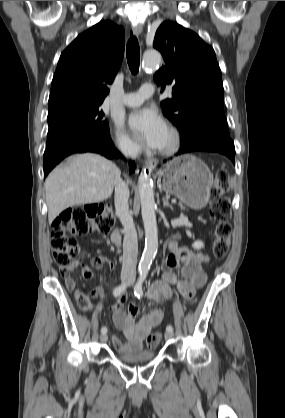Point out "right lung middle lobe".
Returning <instances> with one entry per match:
<instances>
[{
	"instance_id": "obj_1",
	"label": "right lung middle lobe",
	"mask_w": 285,
	"mask_h": 418,
	"mask_svg": "<svg viewBox=\"0 0 285 418\" xmlns=\"http://www.w3.org/2000/svg\"><path fill=\"white\" fill-rule=\"evenodd\" d=\"M102 102L59 101L48 106L47 147L78 134L108 135V121L103 119Z\"/></svg>"
}]
</instances>
